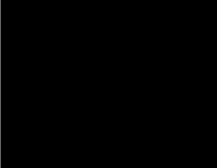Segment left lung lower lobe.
<instances>
[{
  "instance_id": "0a47b994",
  "label": "left lung lower lobe",
  "mask_w": 217,
  "mask_h": 168,
  "mask_svg": "<svg viewBox=\"0 0 217 168\" xmlns=\"http://www.w3.org/2000/svg\"><path fill=\"white\" fill-rule=\"evenodd\" d=\"M178 108L177 102L149 97L145 106L131 110L124 119L125 131L141 139L159 137L176 119Z\"/></svg>"
}]
</instances>
